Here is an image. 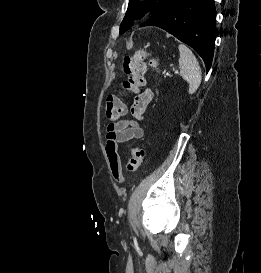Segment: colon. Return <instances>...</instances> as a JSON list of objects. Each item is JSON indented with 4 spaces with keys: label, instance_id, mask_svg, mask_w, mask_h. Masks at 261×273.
<instances>
[{
    "label": "colon",
    "instance_id": "5ec220e1",
    "mask_svg": "<svg viewBox=\"0 0 261 273\" xmlns=\"http://www.w3.org/2000/svg\"><path fill=\"white\" fill-rule=\"evenodd\" d=\"M148 49H139L136 53L126 56L123 60V70L127 75V79L122 84V92H136L145 84V73L147 66L158 67L159 60L155 57H150ZM147 58H149L147 62ZM125 101L117 95L109 96L105 104L106 117L109 120H117L126 113ZM144 150L138 147L131 149V156L127 163L129 172L136 171L143 162Z\"/></svg>",
    "mask_w": 261,
    "mask_h": 273
}]
</instances>
